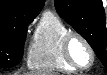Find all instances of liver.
<instances>
[{"instance_id": "obj_1", "label": "liver", "mask_w": 107, "mask_h": 75, "mask_svg": "<svg viewBox=\"0 0 107 75\" xmlns=\"http://www.w3.org/2000/svg\"><path fill=\"white\" fill-rule=\"evenodd\" d=\"M14 75H21V74L19 72H17ZM22 75H37V74H34V73H24Z\"/></svg>"}]
</instances>
